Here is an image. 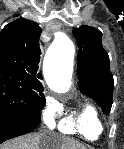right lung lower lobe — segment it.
<instances>
[{
    "mask_svg": "<svg viewBox=\"0 0 124 149\" xmlns=\"http://www.w3.org/2000/svg\"><path fill=\"white\" fill-rule=\"evenodd\" d=\"M40 116L8 119L0 118V144L4 141L29 133L40 123Z\"/></svg>",
    "mask_w": 124,
    "mask_h": 149,
    "instance_id": "98d812e1",
    "label": "right lung lower lobe"
}]
</instances>
